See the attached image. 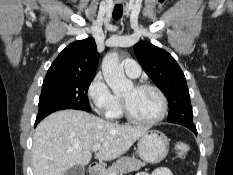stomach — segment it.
<instances>
[{
  "instance_id": "obj_1",
  "label": "stomach",
  "mask_w": 233,
  "mask_h": 175,
  "mask_svg": "<svg viewBox=\"0 0 233 175\" xmlns=\"http://www.w3.org/2000/svg\"><path fill=\"white\" fill-rule=\"evenodd\" d=\"M139 157L147 163L155 164L162 161L169 150V140L158 130H147L138 139Z\"/></svg>"
}]
</instances>
